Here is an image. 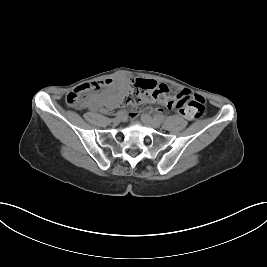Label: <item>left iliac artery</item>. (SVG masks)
<instances>
[{
    "mask_svg": "<svg viewBox=\"0 0 267 267\" xmlns=\"http://www.w3.org/2000/svg\"><path fill=\"white\" fill-rule=\"evenodd\" d=\"M155 119L160 121V122H163L164 121V116H162L160 114H157V115H155Z\"/></svg>",
    "mask_w": 267,
    "mask_h": 267,
    "instance_id": "obj_1",
    "label": "left iliac artery"
}]
</instances>
